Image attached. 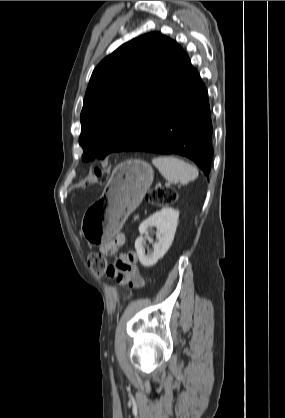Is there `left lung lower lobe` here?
Instances as JSON below:
<instances>
[{
  "mask_svg": "<svg viewBox=\"0 0 285 418\" xmlns=\"http://www.w3.org/2000/svg\"><path fill=\"white\" fill-rule=\"evenodd\" d=\"M211 136L207 88L184 53L166 90L124 151L179 154L209 174L214 153Z\"/></svg>",
  "mask_w": 285,
  "mask_h": 418,
  "instance_id": "1",
  "label": "left lung lower lobe"
}]
</instances>
